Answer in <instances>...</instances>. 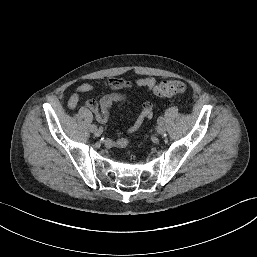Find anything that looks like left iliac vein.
I'll list each match as a JSON object with an SVG mask.
<instances>
[{"label": "left iliac vein", "instance_id": "left-iliac-vein-1", "mask_svg": "<svg viewBox=\"0 0 257 257\" xmlns=\"http://www.w3.org/2000/svg\"><path fill=\"white\" fill-rule=\"evenodd\" d=\"M166 132V127L164 124H159L157 126V133L163 135Z\"/></svg>", "mask_w": 257, "mask_h": 257}]
</instances>
